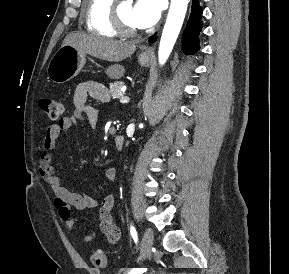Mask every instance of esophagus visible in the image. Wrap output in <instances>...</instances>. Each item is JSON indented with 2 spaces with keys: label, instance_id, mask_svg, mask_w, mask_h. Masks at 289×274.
Masks as SVG:
<instances>
[{
  "label": "esophagus",
  "instance_id": "obj_1",
  "mask_svg": "<svg viewBox=\"0 0 289 274\" xmlns=\"http://www.w3.org/2000/svg\"><path fill=\"white\" fill-rule=\"evenodd\" d=\"M152 53V49H147L144 51V55H150Z\"/></svg>",
  "mask_w": 289,
  "mask_h": 274
}]
</instances>
